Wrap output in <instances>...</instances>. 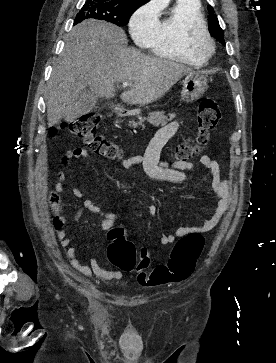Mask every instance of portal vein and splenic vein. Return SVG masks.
<instances>
[{
    "label": "portal vein and splenic vein",
    "instance_id": "obj_1",
    "mask_svg": "<svg viewBox=\"0 0 276 363\" xmlns=\"http://www.w3.org/2000/svg\"><path fill=\"white\" fill-rule=\"evenodd\" d=\"M128 86H133V84L132 83H128V82H123V84H122V87L123 88H126Z\"/></svg>",
    "mask_w": 276,
    "mask_h": 363
}]
</instances>
